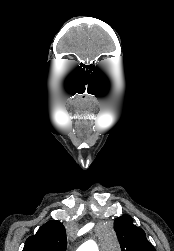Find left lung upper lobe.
Returning a JSON list of instances; mask_svg holds the SVG:
<instances>
[{"mask_svg":"<svg viewBox=\"0 0 174 251\" xmlns=\"http://www.w3.org/2000/svg\"><path fill=\"white\" fill-rule=\"evenodd\" d=\"M114 229L121 251H156L147 240L145 232L133 224V219L129 215L116 218Z\"/></svg>","mask_w":174,"mask_h":251,"instance_id":"1","label":"left lung upper lobe"}]
</instances>
